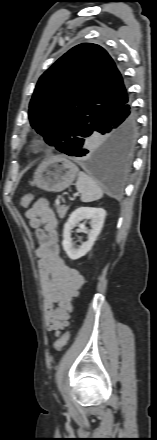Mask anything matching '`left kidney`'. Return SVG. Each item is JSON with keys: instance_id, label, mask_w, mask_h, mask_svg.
<instances>
[{"instance_id": "left-kidney-1", "label": "left kidney", "mask_w": 157, "mask_h": 440, "mask_svg": "<svg viewBox=\"0 0 157 440\" xmlns=\"http://www.w3.org/2000/svg\"><path fill=\"white\" fill-rule=\"evenodd\" d=\"M106 211L102 208L80 207L76 209L69 217L64 225L62 246L68 257L72 260L79 259L85 256L94 245L98 235L100 234ZM83 220H90V229H88V240L79 248H75L72 243L71 231L75 226L81 229H86L85 224L80 222Z\"/></svg>"}]
</instances>
